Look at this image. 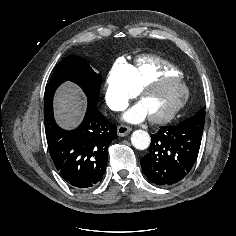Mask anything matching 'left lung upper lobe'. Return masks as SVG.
<instances>
[{
    "label": "left lung upper lobe",
    "instance_id": "obj_1",
    "mask_svg": "<svg viewBox=\"0 0 236 236\" xmlns=\"http://www.w3.org/2000/svg\"><path fill=\"white\" fill-rule=\"evenodd\" d=\"M205 123V107L201 108L194 116L181 122L179 125L203 130Z\"/></svg>",
    "mask_w": 236,
    "mask_h": 236
}]
</instances>
